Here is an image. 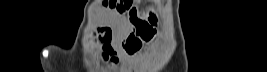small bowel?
I'll use <instances>...</instances> for the list:
<instances>
[{"instance_id":"c3829d8e","label":"small bowel","mask_w":267,"mask_h":72,"mask_svg":"<svg viewBox=\"0 0 267 72\" xmlns=\"http://www.w3.org/2000/svg\"><path fill=\"white\" fill-rule=\"evenodd\" d=\"M103 32V31H102ZM108 39V36L106 33H102V36L99 37V40H103V41H107ZM103 52H104V57L106 58H110L111 60H114L115 57H114V53L112 50H106V49H103ZM141 59V56H137V57H134L133 60L135 61H138Z\"/></svg>"}]
</instances>
